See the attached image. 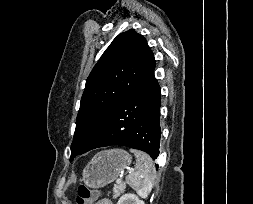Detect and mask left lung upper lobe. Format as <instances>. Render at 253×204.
I'll return each mask as SVG.
<instances>
[{"mask_svg":"<svg viewBox=\"0 0 253 204\" xmlns=\"http://www.w3.org/2000/svg\"><path fill=\"white\" fill-rule=\"evenodd\" d=\"M153 60L146 39L134 29L112 41L86 80L70 161L86 148L95 130L137 87Z\"/></svg>","mask_w":253,"mask_h":204,"instance_id":"1","label":"left lung upper lobe"}]
</instances>
